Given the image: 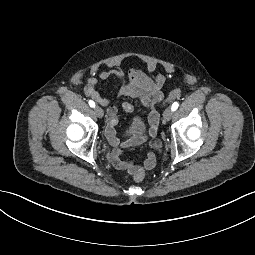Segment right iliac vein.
Segmentation results:
<instances>
[{
  "label": "right iliac vein",
  "instance_id": "63e3f726",
  "mask_svg": "<svg viewBox=\"0 0 255 255\" xmlns=\"http://www.w3.org/2000/svg\"><path fill=\"white\" fill-rule=\"evenodd\" d=\"M94 113L96 114V116L98 117V118H102L103 117V110L100 108V107H95L94 108Z\"/></svg>",
  "mask_w": 255,
  "mask_h": 255
}]
</instances>
